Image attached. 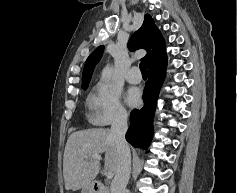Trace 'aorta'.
<instances>
[{
	"label": "aorta",
	"mask_w": 237,
	"mask_h": 193,
	"mask_svg": "<svg viewBox=\"0 0 237 193\" xmlns=\"http://www.w3.org/2000/svg\"><path fill=\"white\" fill-rule=\"evenodd\" d=\"M113 74H114V68L108 65L103 69L101 79L103 81H107L113 76Z\"/></svg>",
	"instance_id": "762f6f07"
}]
</instances>
